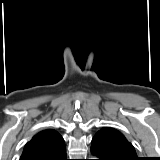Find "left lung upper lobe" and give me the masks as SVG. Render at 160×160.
<instances>
[{
	"label": "left lung upper lobe",
	"mask_w": 160,
	"mask_h": 160,
	"mask_svg": "<svg viewBox=\"0 0 160 160\" xmlns=\"http://www.w3.org/2000/svg\"><path fill=\"white\" fill-rule=\"evenodd\" d=\"M102 137L112 151L124 160H140L133 145L118 130L109 127L101 128L97 133Z\"/></svg>",
	"instance_id": "5c2ea615"
}]
</instances>
